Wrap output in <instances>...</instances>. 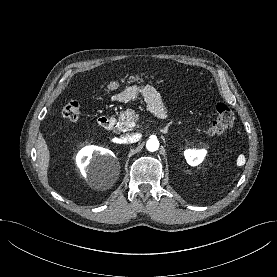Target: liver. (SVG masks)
Here are the masks:
<instances>
[{
  "mask_svg": "<svg viewBox=\"0 0 277 277\" xmlns=\"http://www.w3.org/2000/svg\"><path fill=\"white\" fill-rule=\"evenodd\" d=\"M37 155H38V164L43 176L47 175V170L49 167L50 152L48 145L43 138V135L40 133L37 140Z\"/></svg>",
  "mask_w": 277,
  "mask_h": 277,
  "instance_id": "1",
  "label": "liver"
}]
</instances>
